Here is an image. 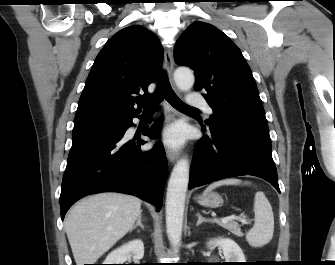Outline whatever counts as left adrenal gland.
<instances>
[{
    "label": "left adrenal gland",
    "mask_w": 335,
    "mask_h": 265,
    "mask_svg": "<svg viewBox=\"0 0 335 265\" xmlns=\"http://www.w3.org/2000/svg\"><path fill=\"white\" fill-rule=\"evenodd\" d=\"M196 216L198 217V221L196 223V226H199L203 222H212V220L204 218L199 212H197Z\"/></svg>",
    "instance_id": "left-adrenal-gland-1"
}]
</instances>
